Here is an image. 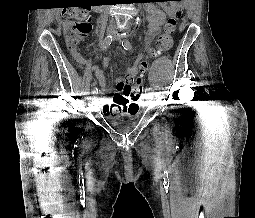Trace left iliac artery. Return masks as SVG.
<instances>
[{
	"label": "left iliac artery",
	"mask_w": 255,
	"mask_h": 218,
	"mask_svg": "<svg viewBox=\"0 0 255 218\" xmlns=\"http://www.w3.org/2000/svg\"><path fill=\"white\" fill-rule=\"evenodd\" d=\"M122 46L125 50H131L132 49V45L129 41V37H126L123 42H122ZM146 92L150 95L151 94V89L147 88Z\"/></svg>",
	"instance_id": "44dca946"
}]
</instances>
